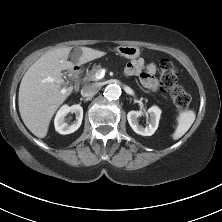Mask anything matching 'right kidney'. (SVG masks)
<instances>
[{
    "label": "right kidney",
    "instance_id": "1",
    "mask_svg": "<svg viewBox=\"0 0 222 222\" xmlns=\"http://www.w3.org/2000/svg\"><path fill=\"white\" fill-rule=\"evenodd\" d=\"M69 112L75 113L76 115V121L73 122V124L69 125L66 122L65 117ZM83 119V108L78 105H72L69 107L68 105H63L59 111L57 112L55 119H54V126L55 130L59 132L60 134H70L78 130L82 123Z\"/></svg>",
    "mask_w": 222,
    "mask_h": 222
}]
</instances>
